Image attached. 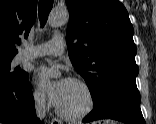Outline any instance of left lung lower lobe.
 <instances>
[{
  "instance_id": "left-lung-lower-lobe-1",
  "label": "left lung lower lobe",
  "mask_w": 156,
  "mask_h": 124,
  "mask_svg": "<svg viewBox=\"0 0 156 124\" xmlns=\"http://www.w3.org/2000/svg\"><path fill=\"white\" fill-rule=\"evenodd\" d=\"M98 119H114L127 124H145L140 101L124 96H112L94 105V109L83 119L91 122Z\"/></svg>"
}]
</instances>
